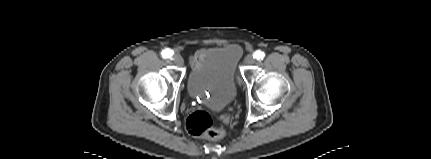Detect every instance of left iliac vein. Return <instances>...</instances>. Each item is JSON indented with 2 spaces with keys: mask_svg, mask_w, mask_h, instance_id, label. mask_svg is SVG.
<instances>
[{
  "mask_svg": "<svg viewBox=\"0 0 431 159\" xmlns=\"http://www.w3.org/2000/svg\"><path fill=\"white\" fill-rule=\"evenodd\" d=\"M255 62L253 55H247L244 59L246 65H252Z\"/></svg>",
  "mask_w": 431,
  "mask_h": 159,
  "instance_id": "obj_1",
  "label": "left iliac vein"
}]
</instances>
